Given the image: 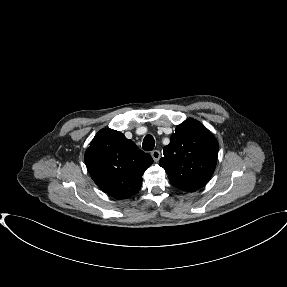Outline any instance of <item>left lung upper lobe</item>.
I'll return each instance as SVG.
<instances>
[{"label":"left lung upper lobe","mask_w":287,"mask_h":287,"mask_svg":"<svg viewBox=\"0 0 287 287\" xmlns=\"http://www.w3.org/2000/svg\"><path fill=\"white\" fill-rule=\"evenodd\" d=\"M163 155L159 165L171 184L193 192L210 180L216 167L218 142L203 124L190 118L176 127Z\"/></svg>","instance_id":"left-lung-upper-lobe-1"}]
</instances>
